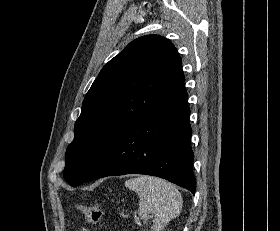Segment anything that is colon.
I'll list each match as a JSON object with an SVG mask.
<instances>
[{
    "label": "colon",
    "mask_w": 280,
    "mask_h": 231,
    "mask_svg": "<svg viewBox=\"0 0 280 231\" xmlns=\"http://www.w3.org/2000/svg\"><path fill=\"white\" fill-rule=\"evenodd\" d=\"M77 207L86 216L88 222L93 227H96L101 222L103 218V210L99 204H78Z\"/></svg>",
    "instance_id": "5ec220e1"
}]
</instances>
